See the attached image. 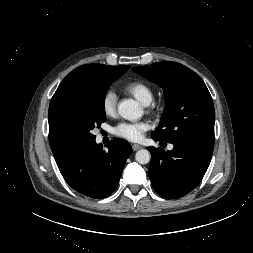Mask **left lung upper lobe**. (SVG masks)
Listing matches in <instances>:
<instances>
[{
  "mask_svg": "<svg viewBox=\"0 0 253 253\" xmlns=\"http://www.w3.org/2000/svg\"><path fill=\"white\" fill-rule=\"evenodd\" d=\"M149 81L162 87L166 107L152 137L169 143L190 142L214 148L215 111L203 80L177 62H158L134 67Z\"/></svg>",
  "mask_w": 253,
  "mask_h": 253,
  "instance_id": "left-lung-upper-lobe-1",
  "label": "left lung upper lobe"
}]
</instances>
